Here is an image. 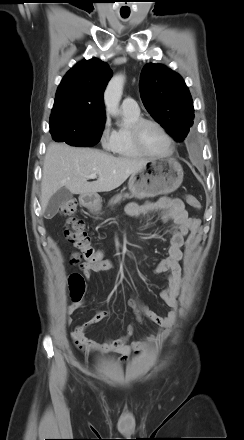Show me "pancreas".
I'll return each instance as SVG.
<instances>
[{
  "instance_id": "1",
  "label": "pancreas",
  "mask_w": 244,
  "mask_h": 440,
  "mask_svg": "<svg viewBox=\"0 0 244 440\" xmlns=\"http://www.w3.org/2000/svg\"><path fill=\"white\" fill-rule=\"evenodd\" d=\"M134 197V195H129V194H124V195H122V194H118V195H116L115 197H113L111 200H110V202H109V204L110 205H115V204H117V203H119L122 199H124V198H133Z\"/></svg>"
}]
</instances>
